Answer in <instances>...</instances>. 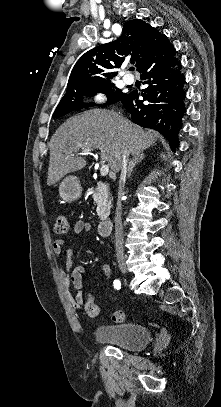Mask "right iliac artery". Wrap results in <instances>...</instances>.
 Instances as JSON below:
<instances>
[{
  "label": "right iliac artery",
  "instance_id": "right-iliac-artery-1",
  "mask_svg": "<svg viewBox=\"0 0 221 407\" xmlns=\"http://www.w3.org/2000/svg\"><path fill=\"white\" fill-rule=\"evenodd\" d=\"M113 286H114V288L115 289H120L121 288V282L117 279V280H114V282H113Z\"/></svg>",
  "mask_w": 221,
  "mask_h": 407
}]
</instances>
